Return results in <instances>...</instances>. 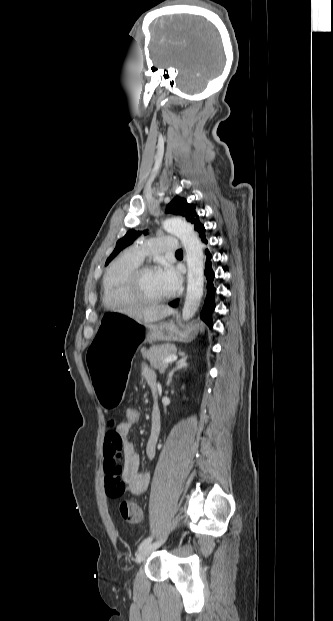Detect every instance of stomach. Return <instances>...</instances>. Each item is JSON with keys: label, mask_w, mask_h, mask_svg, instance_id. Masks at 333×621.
<instances>
[{"label": "stomach", "mask_w": 333, "mask_h": 621, "mask_svg": "<svg viewBox=\"0 0 333 621\" xmlns=\"http://www.w3.org/2000/svg\"><path fill=\"white\" fill-rule=\"evenodd\" d=\"M168 331L158 334L155 324L137 322L132 314L107 312L102 316L96 336L88 342L86 361L96 387V396L109 413L116 412L128 384L133 354L143 342L191 341L197 326L180 330L172 321Z\"/></svg>", "instance_id": "1"}]
</instances>
